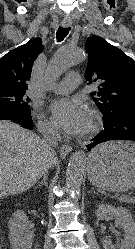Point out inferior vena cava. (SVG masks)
<instances>
[{"mask_svg": "<svg viewBox=\"0 0 135 249\" xmlns=\"http://www.w3.org/2000/svg\"><path fill=\"white\" fill-rule=\"evenodd\" d=\"M39 130L43 135L42 141L44 143V146L52 154H55L53 148L58 145V141L60 140V131L57 128L50 127V126H42L40 127ZM52 164H53V161H51L50 166Z\"/></svg>", "mask_w": 135, "mask_h": 249, "instance_id": "602c4592", "label": "inferior vena cava"}]
</instances>
